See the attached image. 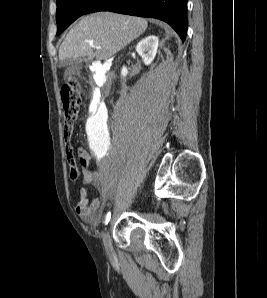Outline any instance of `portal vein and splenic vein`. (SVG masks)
Masks as SVG:
<instances>
[{"label": "portal vein and splenic vein", "instance_id": "obj_1", "mask_svg": "<svg viewBox=\"0 0 267 298\" xmlns=\"http://www.w3.org/2000/svg\"><path fill=\"white\" fill-rule=\"evenodd\" d=\"M91 47H92V48H94V49H96V50H99V49H101V47H100V46L91 45Z\"/></svg>", "mask_w": 267, "mask_h": 298}]
</instances>
